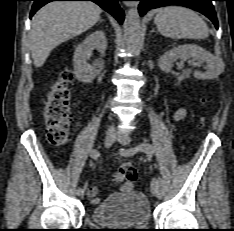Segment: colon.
<instances>
[{
  "label": "colon",
  "mask_w": 234,
  "mask_h": 231,
  "mask_svg": "<svg viewBox=\"0 0 234 231\" xmlns=\"http://www.w3.org/2000/svg\"><path fill=\"white\" fill-rule=\"evenodd\" d=\"M74 75L71 70H64L50 87L44 99L46 133L49 142L56 146L64 145L68 139L69 125L72 119L70 90ZM115 182L137 179V172L130 162H123L114 175Z\"/></svg>",
  "instance_id": "obj_1"
}]
</instances>
